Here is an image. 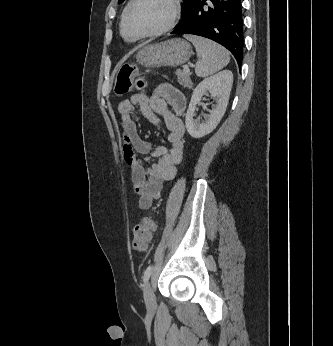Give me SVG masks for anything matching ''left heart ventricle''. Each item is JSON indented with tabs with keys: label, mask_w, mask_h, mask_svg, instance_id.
<instances>
[{
	"label": "left heart ventricle",
	"mask_w": 333,
	"mask_h": 346,
	"mask_svg": "<svg viewBox=\"0 0 333 346\" xmlns=\"http://www.w3.org/2000/svg\"><path fill=\"white\" fill-rule=\"evenodd\" d=\"M171 16L169 0H139L128 16L126 27L131 34L150 33L167 25Z\"/></svg>",
	"instance_id": "left-heart-ventricle-1"
}]
</instances>
